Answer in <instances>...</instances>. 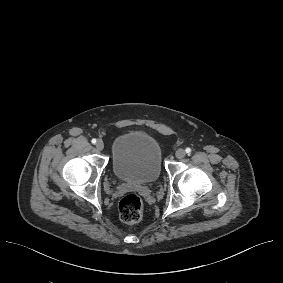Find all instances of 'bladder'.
<instances>
[{
  "instance_id": "obj_1",
  "label": "bladder",
  "mask_w": 283,
  "mask_h": 283,
  "mask_svg": "<svg viewBox=\"0 0 283 283\" xmlns=\"http://www.w3.org/2000/svg\"><path fill=\"white\" fill-rule=\"evenodd\" d=\"M161 151L146 133L120 135L113 144V172L123 181L155 182L161 173Z\"/></svg>"
}]
</instances>
